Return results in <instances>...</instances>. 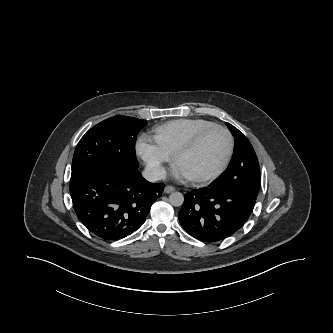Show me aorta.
<instances>
[{"label": "aorta", "mask_w": 333, "mask_h": 333, "mask_svg": "<svg viewBox=\"0 0 333 333\" xmlns=\"http://www.w3.org/2000/svg\"><path fill=\"white\" fill-rule=\"evenodd\" d=\"M169 202L171 205H173L175 207L181 206L184 202L183 194L180 192L171 193L169 196Z\"/></svg>", "instance_id": "aorta-1"}]
</instances>
